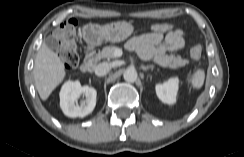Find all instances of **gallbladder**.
I'll return each instance as SVG.
<instances>
[{
    "mask_svg": "<svg viewBox=\"0 0 244 157\" xmlns=\"http://www.w3.org/2000/svg\"><path fill=\"white\" fill-rule=\"evenodd\" d=\"M45 43L50 49H57L59 47L58 40L52 36H48L45 39Z\"/></svg>",
    "mask_w": 244,
    "mask_h": 157,
    "instance_id": "gallbladder-1",
    "label": "gallbladder"
}]
</instances>
